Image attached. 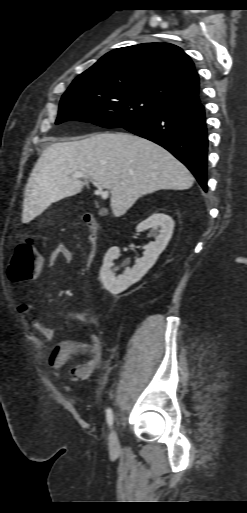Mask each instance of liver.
<instances>
[{
  "label": "liver",
  "mask_w": 247,
  "mask_h": 513,
  "mask_svg": "<svg viewBox=\"0 0 247 513\" xmlns=\"http://www.w3.org/2000/svg\"><path fill=\"white\" fill-rule=\"evenodd\" d=\"M76 172L110 190L115 217L143 195L186 190L194 183L186 166L160 145L129 133H94L42 152L25 191L24 216L36 217L53 202L80 193L84 183L73 178Z\"/></svg>",
  "instance_id": "1"
}]
</instances>
